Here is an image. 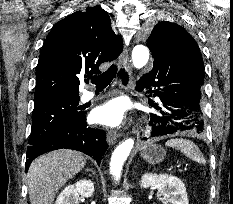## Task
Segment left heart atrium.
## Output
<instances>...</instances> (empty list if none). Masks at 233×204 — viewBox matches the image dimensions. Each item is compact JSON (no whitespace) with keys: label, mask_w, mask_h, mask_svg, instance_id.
<instances>
[{"label":"left heart atrium","mask_w":233,"mask_h":204,"mask_svg":"<svg viewBox=\"0 0 233 204\" xmlns=\"http://www.w3.org/2000/svg\"><path fill=\"white\" fill-rule=\"evenodd\" d=\"M125 105L119 99L110 100L91 112V121L108 127H115L122 123Z\"/></svg>","instance_id":"left-heart-atrium-1"}]
</instances>
